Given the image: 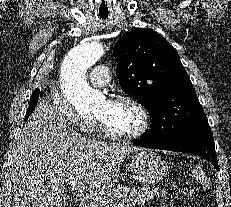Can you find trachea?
Wrapping results in <instances>:
<instances>
[{
    "mask_svg": "<svg viewBox=\"0 0 231 207\" xmlns=\"http://www.w3.org/2000/svg\"><path fill=\"white\" fill-rule=\"evenodd\" d=\"M101 18L106 19V18H107V16H101Z\"/></svg>",
    "mask_w": 231,
    "mask_h": 207,
    "instance_id": "3493384b",
    "label": "trachea"
}]
</instances>
